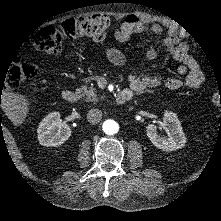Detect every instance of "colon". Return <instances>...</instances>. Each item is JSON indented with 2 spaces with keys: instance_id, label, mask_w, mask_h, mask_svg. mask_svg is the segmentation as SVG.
I'll return each instance as SVG.
<instances>
[{
  "instance_id": "1",
  "label": "colon",
  "mask_w": 221,
  "mask_h": 221,
  "mask_svg": "<svg viewBox=\"0 0 221 221\" xmlns=\"http://www.w3.org/2000/svg\"><path fill=\"white\" fill-rule=\"evenodd\" d=\"M128 23H137L138 18L129 16L125 19ZM112 18L105 14L87 17L70 18L55 25L39 29L34 36L33 46L36 50L48 55H57L64 42L79 37L88 38L94 42L102 41L112 26ZM36 75L35 66L29 62H16L9 71L6 86L15 89Z\"/></svg>"
}]
</instances>
